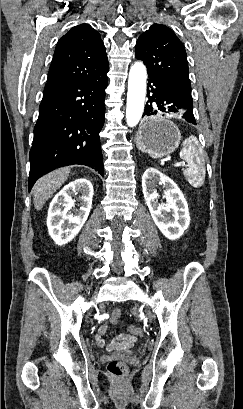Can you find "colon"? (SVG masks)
<instances>
[{
	"label": "colon",
	"instance_id": "5ec220e1",
	"mask_svg": "<svg viewBox=\"0 0 243 409\" xmlns=\"http://www.w3.org/2000/svg\"><path fill=\"white\" fill-rule=\"evenodd\" d=\"M121 317V310L119 308H115L112 312H111V320L113 321V323H117L119 321ZM129 331L131 333H134L136 335H141L142 334V330L138 327L135 326H131L129 328ZM107 369L108 372L111 374V376H113L116 379H120L124 376L125 372H126V366L122 361L119 360H112L108 363L107 365Z\"/></svg>",
	"mask_w": 243,
	"mask_h": 409
}]
</instances>
